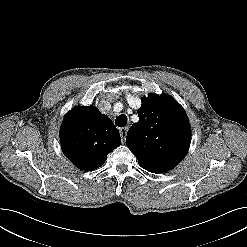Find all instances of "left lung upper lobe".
<instances>
[{"instance_id":"5c2ea615","label":"left lung upper lobe","mask_w":247,"mask_h":247,"mask_svg":"<svg viewBox=\"0 0 247 247\" xmlns=\"http://www.w3.org/2000/svg\"><path fill=\"white\" fill-rule=\"evenodd\" d=\"M139 121L128 130L127 147L149 172L173 169L187 154L191 128L184 109L169 95L142 99Z\"/></svg>"}]
</instances>
